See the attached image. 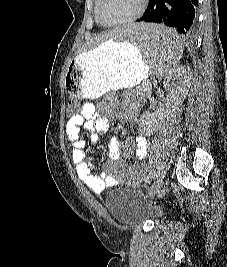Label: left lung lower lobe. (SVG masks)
<instances>
[{"instance_id": "obj_1", "label": "left lung lower lobe", "mask_w": 227, "mask_h": 267, "mask_svg": "<svg viewBox=\"0 0 227 267\" xmlns=\"http://www.w3.org/2000/svg\"><path fill=\"white\" fill-rule=\"evenodd\" d=\"M198 0H149L148 8L137 22H154L169 26L191 37L196 30Z\"/></svg>"}]
</instances>
